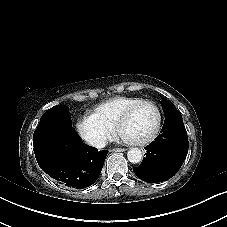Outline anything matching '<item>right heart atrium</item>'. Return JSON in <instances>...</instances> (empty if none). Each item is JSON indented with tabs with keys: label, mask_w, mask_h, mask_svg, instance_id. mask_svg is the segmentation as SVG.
<instances>
[{
	"label": "right heart atrium",
	"mask_w": 227,
	"mask_h": 227,
	"mask_svg": "<svg viewBox=\"0 0 227 227\" xmlns=\"http://www.w3.org/2000/svg\"><path fill=\"white\" fill-rule=\"evenodd\" d=\"M78 131L90 146H100L104 144L111 135L108 127L98 125L93 121H84L79 124Z\"/></svg>",
	"instance_id": "d8ad5b80"
}]
</instances>
